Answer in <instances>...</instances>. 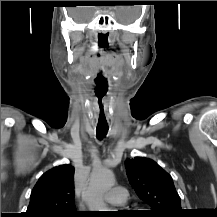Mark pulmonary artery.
<instances>
[{
  "label": "pulmonary artery",
  "instance_id": "1",
  "mask_svg": "<svg viewBox=\"0 0 217 217\" xmlns=\"http://www.w3.org/2000/svg\"><path fill=\"white\" fill-rule=\"evenodd\" d=\"M106 202L114 206H123L127 203V190L124 187L116 186L104 197Z\"/></svg>",
  "mask_w": 217,
  "mask_h": 217
}]
</instances>
